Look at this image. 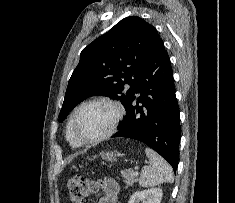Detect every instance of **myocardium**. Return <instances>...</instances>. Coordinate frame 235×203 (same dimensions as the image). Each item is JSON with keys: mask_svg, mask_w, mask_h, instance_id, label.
<instances>
[{"mask_svg": "<svg viewBox=\"0 0 235 203\" xmlns=\"http://www.w3.org/2000/svg\"><path fill=\"white\" fill-rule=\"evenodd\" d=\"M99 102L107 103L114 107L115 118L113 120V123L110 126V128L101 136L93 138V139L84 138L77 130L76 123H77L78 115L85 106L89 104H93V103H99ZM124 115H125L124 106L118 100L110 98V97H106V96L94 97V98L84 101L76 108L71 118V129H72L73 134L77 138V140L81 142L82 144H96L111 137L117 131L120 123L122 122L124 118Z\"/></svg>", "mask_w": 235, "mask_h": 203, "instance_id": "f54148a6", "label": "myocardium"}]
</instances>
